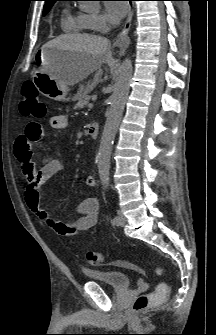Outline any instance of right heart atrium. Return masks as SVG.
Here are the masks:
<instances>
[{"instance_id":"1","label":"right heart atrium","mask_w":216,"mask_h":335,"mask_svg":"<svg viewBox=\"0 0 216 335\" xmlns=\"http://www.w3.org/2000/svg\"><path fill=\"white\" fill-rule=\"evenodd\" d=\"M92 29L97 32H103L107 29V23L102 15H88Z\"/></svg>"}]
</instances>
